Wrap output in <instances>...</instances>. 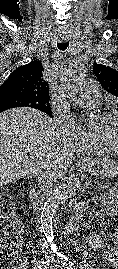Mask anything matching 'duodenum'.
Wrapping results in <instances>:
<instances>
[{
    "label": "duodenum",
    "mask_w": 118,
    "mask_h": 269,
    "mask_svg": "<svg viewBox=\"0 0 118 269\" xmlns=\"http://www.w3.org/2000/svg\"><path fill=\"white\" fill-rule=\"evenodd\" d=\"M82 216H83L82 212L77 211L70 220L64 223V228L68 232L76 230L82 221Z\"/></svg>",
    "instance_id": "duodenum-1"
}]
</instances>
